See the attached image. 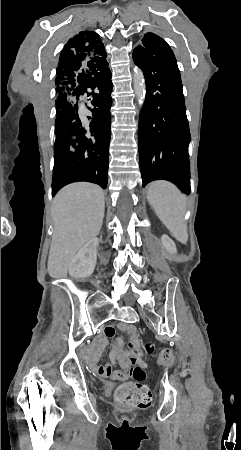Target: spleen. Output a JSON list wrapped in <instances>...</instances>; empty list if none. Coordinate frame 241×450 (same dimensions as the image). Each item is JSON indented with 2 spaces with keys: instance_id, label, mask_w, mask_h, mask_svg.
I'll use <instances>...</instances> for the list:
<instances>
[{
  "instance_id": "spleen-1",
  "label": "spleen",
  "mask_w": 241,
  "mask_h": 450,
  "mask_svg": "<svg viewBox=\"0 0 241 450\" xmlns=\"http://www.w3.org/2000/svg\"><path fill=\"white\" fill-rule=\"evenodd\" d=\"M147 200L173 238H176L181 244H186L188 234L184 222L185 194H181L180 190L171 182L159 180V182L148 184Z\"/></svg>"
}]
</instances>
